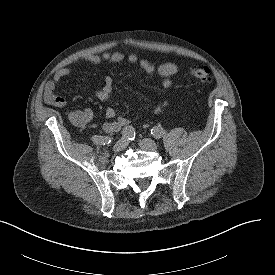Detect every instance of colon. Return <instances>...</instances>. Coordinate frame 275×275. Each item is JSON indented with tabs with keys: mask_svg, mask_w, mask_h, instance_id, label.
Here are the masks:
<instances>
[{
	"mask_svg": "<svg viewBox=\"0 0 275 275\" xmlns=\"http://www.w3.org/2000/svg\"><path fill=\"white\" fill-rule=\"evenodd\" d=\"M188 76L198 84H209L212 80L211 71L208 67H191L188 70Z\"/></svg>",
	"mask_w": 275,
	"mask_h": 275,
	"instance_id": "obj_1",
	"label": "colon"
}]
</instances>
